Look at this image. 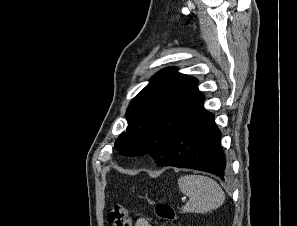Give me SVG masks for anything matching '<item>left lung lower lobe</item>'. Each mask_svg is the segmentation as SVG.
<instances>
[{"mask_svg": "<svg viewBox=\"0 0 297 226\" xmlns=\"http://www.w3.org/2000/svg\"><path fill=\"white\" fill-rule=\"evenodd\" d=\"M203 102L204 98L179 127L157 165L201 170L225 179L228 167L220 146L221 133Z\"/></svg>", "mask_w": 297, "mask_h": 226, "instance_id": "obj_1", "label": "left lung lower lobe"}]
</instances>
